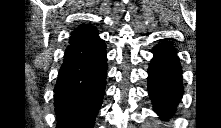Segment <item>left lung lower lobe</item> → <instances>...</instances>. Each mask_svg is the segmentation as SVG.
Returning a JSON list of instances; mask_svg holds the SVG:
<instances>
[{
  "mask_svg": "<svg viewBox=\"0 0 221 128\" xmlns=\"http://www.w3.org/2000/svg\"><path fill=\"white\" fill-rule=\"evenodd\" d=\"M148 69V92L154 110L162 118L173 116L183 94L182 71L176 49L161 43L153 49Z\"/></svg>",
  "mask_w": 221,
  "mask_h": 128,
  "instance_id": "0a47b994",
  "label": "left lung lower lobe"
}]
</instances>
